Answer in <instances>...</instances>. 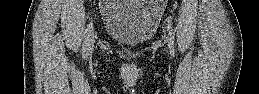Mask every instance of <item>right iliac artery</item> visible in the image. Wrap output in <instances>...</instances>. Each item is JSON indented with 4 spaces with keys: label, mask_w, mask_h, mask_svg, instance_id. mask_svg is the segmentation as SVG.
<instances>
[{
    "label": "right iliac artery",
    "mask_w": 259,
    "mask_h": 94,
    "mask_svg": "<svg viewBox=\"0 0 259 94\" xmlns=\"http://www.w3.org/2000/svg\"><path fill=\"white\" fill-rule=\"evenodd\" d=\"M93 31V23L92 21L88 24L87 29L85 30L84 35V42L82 47V55L83 58H86L88 56V50H89V43H90V36Z\"/></svg>",
    "instance_id": "82829eb1"
}]
</instances>
